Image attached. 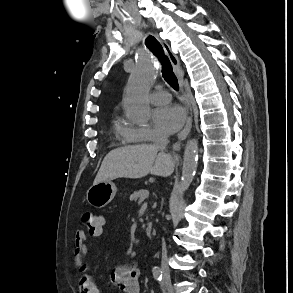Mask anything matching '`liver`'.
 Returning <instances> with one entry per match:
<instances>
[{"label": "liver", "instance_id": "liver-1", "mask_svg": "<svg viewBox=\"0 0 293 293\" xmlns=\"http://www.w3.org/2000/svg\"><path fill=\"white\" fill-rule=\"evenodd\" d=\"M174 171V161L168 154L150 144L125 146L109 152L96 175L94 184L117 178H143L149 173L167 177Z\"/></svg>", "mask_w": 293, "mask_h": 293}]
</instances>
